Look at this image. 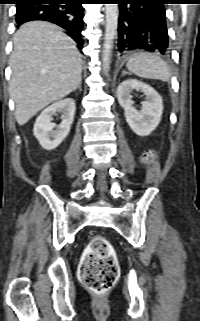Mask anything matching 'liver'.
<instances>
[{
  "instance_id": "6515ba94",
  "label": "liver",
  "mask_w": 200,
  "mask_h": 321,
  "mask_svg": "<svg viewBox=\"0 0 200 321\" xmlns=\"http://www.w3.org/2000/svg\"><path fill=\"white\" fill-rule=\"evenodd\" d=\"M9 92L22 126L50 103L70 94L81 80L75 42L51 23H25L15 33Z\"/></svg>"
}]
</instances>
